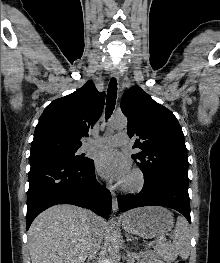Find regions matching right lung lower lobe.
I'll list each match as a JSON object with an SVG mask.
<instances>
[{"mask_svg":"<svg viewBox=\"0 0 220 263\" xmlns=\"http://www.w3.org/2000/svg\"><path fill=\"white\" fill-rule=\"evenodd\" d=\"M30 165L26 230L38 214L56 204H73L109 216L111 194L97 183L92 159L76 164L33 154Z\"/></svg>","mask_w":220,"mask_h":263,"instance_id":"obj_1","label":"right lung lower lobe"}]
</instances>
